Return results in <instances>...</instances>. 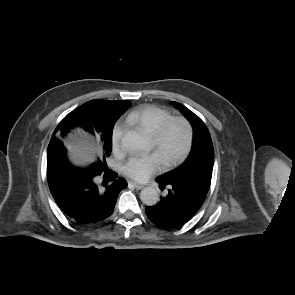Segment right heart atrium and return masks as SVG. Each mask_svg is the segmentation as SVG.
I'll return each mask as SVG.
<instances>
[{
  "instance_id": "right-heart-atrium-1",
  "label": "right heart atrium",
  "mask_w": 295,
  "mask_h": 295,
  "mask_svg": "<svg viewBox=\"0 0 295 295\" xmlns=\"http://www.w3.org/2000/svg\"><path fill=\"white\" fill-rule=\"evenodd\" d=\"M125 132V127L122 123H116L112 129L111 142L114 151L121 150V141Z\"/></svg>"
}]
</instances>
